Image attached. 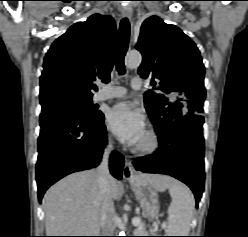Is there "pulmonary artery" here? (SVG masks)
I'll use <instances>...</instances> for the list:
<instances>
[{
  "label": "pulmonary artery",
  "instance_id": "e3ab8cb5",
  "mask_svg": "<svg viewBox=\"0 0 248 237\" xmlns=\"http://www.w3.org/2000/svg\"><path fill=\"white\" fill-rule=\"evenodd\" d=\"M131 86L134 90H139L142 88L143 86V82L141 78H133L132 82H131ZM127 94V89L124 87H120V86H113L108 90H103L98 92L95 97L94 100L96 102H100V101H104V100H108L111 98H121L126 96Z\"/></svg>",
  "mask_w": 248,
  "mask_h": 237
}]
</instances>
